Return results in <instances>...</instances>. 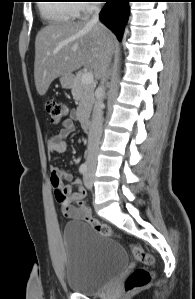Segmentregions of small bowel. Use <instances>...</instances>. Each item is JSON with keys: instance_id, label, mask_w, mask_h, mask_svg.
Masks as SVG:
<instances>
[{"instance_id": "1", "label": "small bowel", "mask_w": 195, "mask_h": 299, "mask_svg": "<svg viewBox=\"0 0 195 299\" xmlns=\"http://www.w3.org/2000/svg\"><path fill=\"white\" fill-rule=\"evenodd\" d=\"M77 113L72 110L67 118L61 122V128L59 132L53 135L47 142V148L51 152L63 153L66 151L67 143L66 138L75 129V120ZM59 180V184L63 187L67 194L69 201L64 204H60L63 214L67 218L79 219L80 216L77 212L76 202L82 201L86 195L85 189L82 187L79 179H73L72 175L59 167L53 166L51 168V183L52 186ZM60 180L66 181L67 185H63ZM76 189L75 192H72Z\"/></svg>"}]
</instances>
